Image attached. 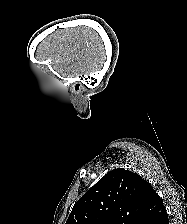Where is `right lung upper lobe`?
<instances>
[{"mask_svg":"<svg viewBox=\"0 0 187 224\" xmlns=\"http://www.w3.org/2000/svg\"><path fill=\"white\" fill-rule=\"evenodd\" d=\"M166 216L149 182L119 168L108 172L74 204L66 224H160Z\"/></svg>","mask_w":187,"mask_h":224,"instance_id":"right-lung-upper-lobe-1","label":"right lung upper lobe"}]
</instances>
